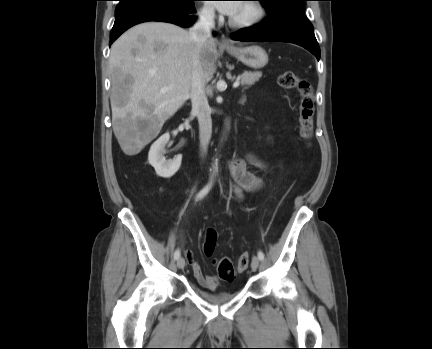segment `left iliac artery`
Instances as JSON below:
<instances>
[{
  "mask_svg": "<svg viewBox=\"0 0 432 349\" xmlns=\"http://www.w3.org/2000/svg\"><path fill=\"white\" fill-rule=\"evenodd\" d=\"M258 258H259L260 260H263V259H264V253H263L262 251H258Z\"/></svg>",
  "mask_w": 432,
  "mask_h": 349,
  "instance_id": "left-iliac-artery-1",
  "label": "left iliac artery"
}]
</instances>
